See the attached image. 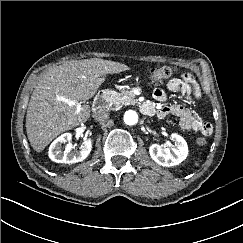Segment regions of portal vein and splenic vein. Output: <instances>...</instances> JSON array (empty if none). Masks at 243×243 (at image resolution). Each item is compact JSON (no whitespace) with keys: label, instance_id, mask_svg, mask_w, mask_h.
<instances>
[{"label":"portal vein and splenic vein","instance_id":"obj_1","mask_svg":"<svg viewBox=\"0 0 243 243\" xmlns=\"http://www.w3.org/2000/svg\"><path fill=\"white\" fill-rule=\"evenodd\" d=\"M59 100L67 103L70 106H77L78 110L81 107V104L79 102H76V101H73V100H69V99H66V98H60Z\"/></svg>","mask_w":243,"mask_h":243}]
</instances>
